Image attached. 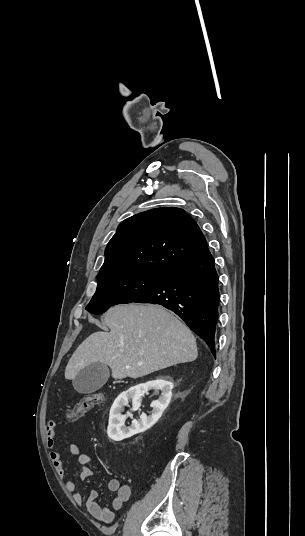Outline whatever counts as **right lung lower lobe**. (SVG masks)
Wrapping results in <instances>:
<instances>
[{
	"mask_svg": "<svg viewBox=\"0 0 305 536\" xmlns=\"http://www.w3.org/2000/svg\"><path fill=\"white\" fill-rule=\"evenodd\" d=\"M135 302L160 304L175 312L208 344L215 356L219 290L211 254L173 270Z\"/></svg>",
	"mask_w": 305,
	"mask_h": 536,
	"instance_id": "98d812e1",
	"label": "right lung lower lobe"
}]
</instances>
